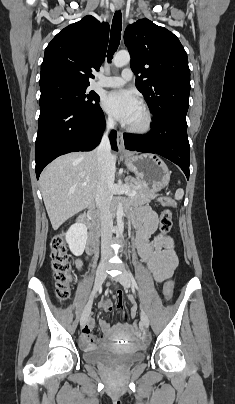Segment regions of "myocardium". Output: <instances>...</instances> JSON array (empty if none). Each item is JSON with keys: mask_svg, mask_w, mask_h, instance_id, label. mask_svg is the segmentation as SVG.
Returning <instances> with one entry per match:
<instances>
[{"mask_svg": "<svg viewBox=\"0 0 235 404\" xmlns=\"http://www.w3.org/2000/svg\"><path fill=\"white\" fill-rule=\"evenodd\" d=\"M140 108L142 111V119L137 124H128L126 126V130L133 134L143 135L151 130L153 124V116L150 109L145 104H141Z\"/></svg>", "mask_w": 235, "mask_h": 404, "instance_id": "myocardium-1", "label": "myocardium"}]
</instances>
